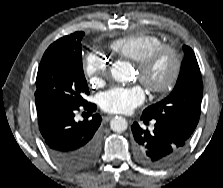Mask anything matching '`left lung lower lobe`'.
I'll list each match as a JSON object with an SVG mask.
<instances>
[{
    "mask_svg": "<svg viewBox=\"0 0 223 188\" xmlns=\"http://www.w3.org/2000/svg\"><path fill=\"white\" fill-rule=\"evenodd\" d=\"M144 121L148 119L141 117ZM134 155L143 165L162 168L174 163L184 152L188 139L171 127L156 121L153 132L143 130L134 122Z\"/></svg>",
    "mask_w": 223,
    "mask_h": 188,
    "instance_id": "0a47b994",
    "label": "left lung lower lobe"
}]
</instances>
